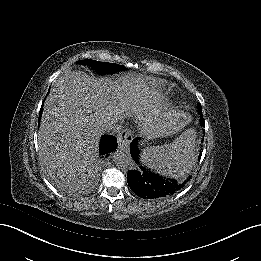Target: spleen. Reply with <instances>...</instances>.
<instances>
[{
	"label": "spleen",
	"mask_w": 261,
	"mask_h": 261,
	"mask_svg": "<svg viewBox=\"0 0 261 261\" xmlns=\"http://www.w3.org/2000/svg\"><path fill=\"white\" fill-rule=\"evenodd\" d=\"M195 140V130L188 129L171 144L147 149L144 161L149 162L162 175L176 179L181 178L194 163Z\"/></svg>",
	"instance_id": "obj_1"
}]
</instances>
